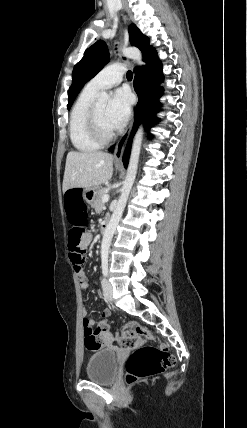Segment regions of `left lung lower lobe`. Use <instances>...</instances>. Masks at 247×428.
Segmentation results:
<instances>
[{
    "label": "left lung lower lobe",
    "instance_id": "1",
    "mask_svg": "<svg viewBox=\"0 0 247 428\" xmlns=\"http://www.w3.org/2000/svg\"><path fill=\"white\" fill-rule=\"evenodd\" d=\"M142 68L135 69L134 89L138 94L139 101L135 109V123L132 135L135 133L141 120L149 128L154 125L158 118L155 113L160 107L159 97L162 95L163 88L159 86L163 82L162 64L157 54H153L146 61ZM130 141L126 147L123 163L127 167L129 158Z\"/></svg>",
    "mask_w": 247,
    "mask_h": 428
}]
</instances>
